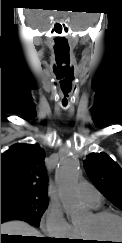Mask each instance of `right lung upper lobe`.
Here are the masks:
<instances>
[{
    "instance_id": "1",
    "label": "right lung upper lobe",
    "mask_w": 122,
    "mask_h": 243,
    "mask_svg": "<svg viewBox=\"0 0 122 243\" xmlns=\"http://www.w3.org/2000/svg\"><path fill=\"white\" fill-rule=\"evenodd\" d=\"M44 159L38 144L18 143L1 154V196L48 198Z\"/></svg>"
}]
</instances>
